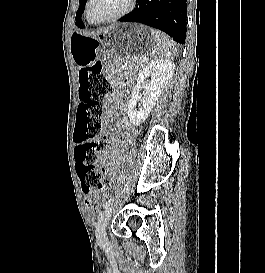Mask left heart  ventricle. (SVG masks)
I'll list each match as a JSON object with an SVG mask.
<instances>
[{"instance_id": "b2bd125f", "label": "left heart ventricle", "mask_w": 265, "mask_h": 273, "mask_svg": "<svg viewBox=\"0 0 265 273\" xmlns=\"http://www.w3.org/2000/svg\"><path fill=\"white\" fill-rule=\"evenodd\" d=\"M130 0H92L90 14L93 19L102 20L124 10Z\"/></svg>"}]
</instances>
